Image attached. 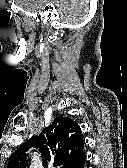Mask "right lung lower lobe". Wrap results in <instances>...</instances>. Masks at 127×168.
<instances>
[{
	"mask_svg": "<svg viewBox=\"0 0 127 168\" xmlns=\"http://www.w3.org/2000/svg\"><path fill=\"white\" fill-rule=\"evenodd\" d=\"M85 161H86V157L77 166H75L74 168H84Z\"/></svg>",
	"mask_w": 127,
	"mask_h": 168,
	"instance_id": "1",
	"label": "right lung lower lobe"
}]
</instances>
